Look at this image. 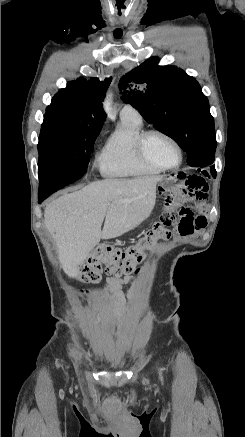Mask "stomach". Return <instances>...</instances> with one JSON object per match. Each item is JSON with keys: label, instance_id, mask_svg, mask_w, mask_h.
Instances as JSON below:
<instances>
[{"label": "stomach", "instance_id": "0dacf381", "mask_svg": "<svg viewBox=\"0 0 245 437\" xmlns=\"http://www.w3.org/2000/svg\"><path fill=\"white\" fill-rule=\"evenodd\" d=\"M180 183H184L183 175L180 173H173L163 176L158 182L156 191L157 197L162 198L167 193H170L174 188H177Z\"/></svg>", "mask_w": 245, "mask_h": 437}]
</instances>
